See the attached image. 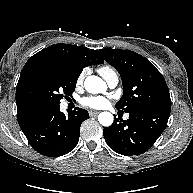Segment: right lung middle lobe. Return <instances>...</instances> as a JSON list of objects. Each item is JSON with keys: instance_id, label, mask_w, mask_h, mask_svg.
Listing matches in <instances>:
<instances>
[{"instance_id": "dd1d6c3e", "label": "right lung middle lobe", "mask_w": 193, "mask_h": 193, "mask_svg": "<svg viewBox=\"0 0 193 193\" xmlns=\"http://www.w3.org/2000/svg\"><path fill=\"white\" fill-rule=\"evenodd\" d=\"M80 73L60 65H37L25 75L20 94L29 106L40 111L58 106L64 95H72Z\"/></svg>"}]
</instances>
